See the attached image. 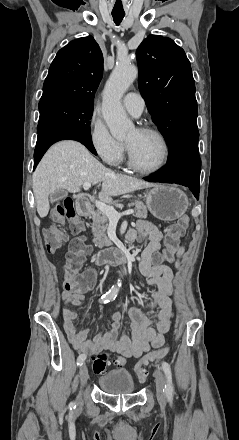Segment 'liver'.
<instances>
[{"mask_svg": "<svg viewBox=\"0 0 239 440\" xmlns=\"http://www.w3.org/2000/svg\"><path fill=\"white\" fill-rule=\"evenodd\" d=\"M85 182H103L102 190L99 192L102 202H111L113 196H122L155 186L137 178L115 174L102 166L85 146L79 142L65 140L49 148L33 174V192L40 218H45L50 210L49 194L61 188L76 194Z\"/></svg>", "mask_w": 239, "mask_h": 440, "instance_id": "liver-1", "label": "liver"}]
</instances>
